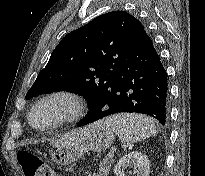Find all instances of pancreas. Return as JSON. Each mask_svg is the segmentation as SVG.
Wrapping results in <instances>:
<instances>
[{
	"mask_svg": "<svg viewBox=\"0 0 205 176\" xmlns=\"http://www.w3.org/2000/svg\"><path fill=\"white\" fill-rule=\"evenodd\" d=\"M114 160L109 158L108 156L100 163L99 165V172L94 174L93 176H108L109 171L111 169V165L113 164Z\"/></svg>",
	"mask_w": 205,
	"mask_h": 176,
	"instance_id": "pancreas-1",
	"label": "pancreas"
}]
</instances>
